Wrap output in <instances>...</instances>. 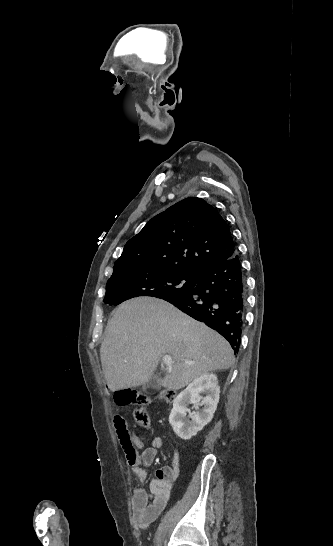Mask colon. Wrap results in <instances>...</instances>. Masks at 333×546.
Returning <instances> with one entry per match:
<instances>
[{
  "label": "colon",
  "instance_id": "1",
  "mask_svg": "<svg viewBox=\"0 0 333 546\" xmlns=\"http://www.w3.org/2000/svg\"><path fill=\"white\" fill-rule=\"evenodd\" d=\"M175 394L171 390H163L159 393L158 399L171 403L174 400ZM116 402L121 406H129L139 404L141 407L135 411V419L137 423L143 427L148 428L150 426V419L146 411V407L153 403V400L149 397L137 394L131 390L120 391L116 395ZM114 426L117 434V438L128 460H133L136 455V447L134 446L130 434L126 427V422L121 416L114 418Z\"/></svg>",
  "mask_w": 333,
  "mask_h": 546
}]
</instances>
